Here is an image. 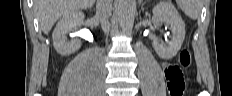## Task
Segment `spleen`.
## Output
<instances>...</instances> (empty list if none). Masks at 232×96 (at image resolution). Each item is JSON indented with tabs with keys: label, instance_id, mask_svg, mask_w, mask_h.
I'll list each match as a JSON object with an SVG mask.
<instances>
[{
	"label": "spleen",
	"instance_id": "obj_1",
	"mask_svg": "<svg viewBox=\"0 0 232 96\" xmlns=\"http://www.w3.org/2000/svg\"><path fill=\"white\" fill-rule=\"evenodd\" d=\"M176 2L189 18L196 20L200 17L202 9L200 0H177Z\"/></svg>",
	"mask_w": 232,
	"mask_h": 96
}]
</instances>
